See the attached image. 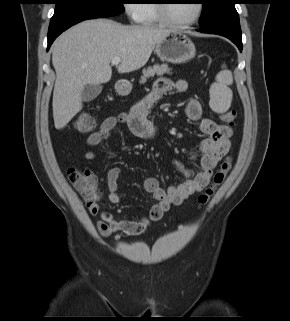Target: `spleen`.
Wrapping results in <instances>:
<instances>
[{"instance_id":"1","label":"spleen","mask_w":290,"mask_h":321,"mask_svg":"<svg viewBox=\"0 0 290 321\" xmlns=\"http://www.w3.org/2000/svg\"><path fill=\"white\" fill-rule=\"evenodd\" d=\"M233 83L232 73L229 70H222L216 75V82L210 87L211 109L217 113L226 112L232 101V90L229 85Z\"/></svg>"}]
</instances>
